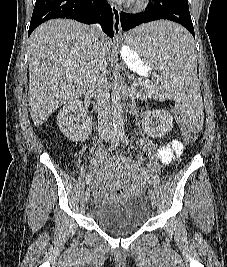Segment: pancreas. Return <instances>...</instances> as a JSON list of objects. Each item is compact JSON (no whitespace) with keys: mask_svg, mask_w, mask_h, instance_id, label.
Returning a JSON list of instances; mask_svg holds the SVG:
<instances>
[{"mask_svg":"<svg viewBox=\"0 0 227 267\" xmlns=\"http://www.w3.org/2000/svg\"><path fill=\"white\" fill-rule=\"evenodd\" d=\"M138 85H141L143 90L147 93V94H151L154 90H155V86H153L152 84H150L148 81H144L142 79L138 80Z\"/></svg>","mask_w":227,"mask_h":267,"instance_id":"pancreas-1","label":"pancreas"}]
</instances>
